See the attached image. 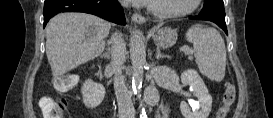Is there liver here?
Returning a JSON list of instances; mask_svg holds the SVG:
<instances>
[{
  "mask_svg": "<svg viewBox=\"0 0 273 118\" xmlns=\"http://www.w3.org/2000/svg\"><path fill=\"white\" fill-rule=\"evenodd\" d=\"M111 24L85 13H60L46 26V55L54 77L98 57Z\"/></svg>",
  "mask_w": 273,
  "mask_h": 118,
  "instance_id": "liver-1",
  "label": "liver"
}]
</instances>
